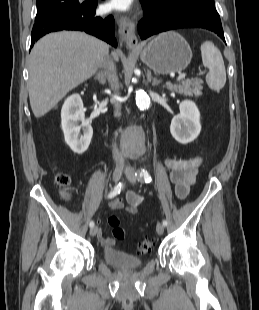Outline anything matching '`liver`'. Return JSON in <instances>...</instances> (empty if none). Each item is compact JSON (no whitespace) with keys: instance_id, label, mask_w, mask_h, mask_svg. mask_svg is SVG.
Masks as SVG:
<instances>
[{"instance_id":"1","label":"liver","mask_w":259,"mask_h":310,"mask_svg":"<svg viewBox=\"0 0 259 310\" xmlns=\"http://www.w3.org/2000/svg\"><path fill=\"white\" fill-rule=\"evenodd\" d=\"M109 45L86 33L62 31L40 39L30 53L29 99L36 118L53 109L97 71ZM118 60V56L113 53Z\"/></svg>"}]
</instances>
